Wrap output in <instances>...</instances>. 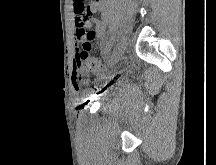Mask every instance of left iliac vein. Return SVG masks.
<instances>
[{"label":"left iliac vein","mask_w":216,"mask_h":165,"mask_svg":"<svg viewBox=\"0 0 216 165\" xmlns=\"http://www.w3.org/2000/svg\"><path fill=\"white\" fill-rule=\"evenodd\" d=\"M127 46V38L125 36L121 37L108 60L110 65H115L121 59L127 49Z\"/></svg>","instance_id":"left-iliac-vein-1"}]
</instances>
